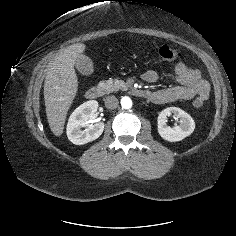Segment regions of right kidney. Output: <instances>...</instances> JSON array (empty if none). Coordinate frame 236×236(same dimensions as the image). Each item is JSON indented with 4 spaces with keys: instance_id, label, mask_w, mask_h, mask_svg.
Returning <instances> with one entry per match:
<instances>
[{
    "instance_id": "right-kidney-1",
    "label": "right kidney",
    "mask_w": 236,
    "mask_h": 236,
    "mask_svg": "<svg viewBox=\"0 0 236 236\" xmlns=\"http://www.w3.org/2000/svg\"><path fill=\"white\" fill-rule=\"evenodd\" d=\"M97 109L98 102L90 100L81 104L70 115L67 124V136L73 144L83 145L101 136L104 130V123L90 124ZM83 127H86L85 130L81 129Z\"/></svg>"
}]
</instances>
